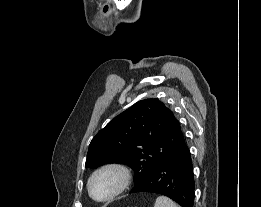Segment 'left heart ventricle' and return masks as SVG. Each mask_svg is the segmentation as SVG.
I'll return each instance as SVG.
<instances>
[{
    "mask_svg": "<svg viewBox=\"0 0 261 207\" xmlns=\"http://www.w3.org/2000/svg\"><path fill=\"white\" fill-rule=\"evenodd\" d=\"M119 178L112 172H104L96 176L92 182V193L98 199L108 197L117 187Z\"/></svg>",
    "mask_w": 261,
    "mask_h": 207,
    "instance_id": "left-heart-ventricle-1",
    "label": "left heart ventricle"
}]
</instances>
